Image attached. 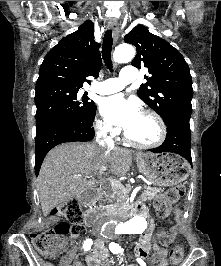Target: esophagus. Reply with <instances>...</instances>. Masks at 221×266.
<instances>
[{
  "mask_svg": "<svg viewBox=\"0 0 221 266\" xmlns=\"http://www.w3.org/2000/svg\"><path fill=\"white\" fill-rule=\"evenodd\" d=\"M110 28L113 32V37H114V41L116 42L117 39H118V34H119V28L117 26V23L116 22H111V25H110Z\"/></svg>",
  "mask_w": 221,
  "mask_h": 266,
  "instance_id": "obj_1",
  "label": "esophagus"
}]
</instances>
